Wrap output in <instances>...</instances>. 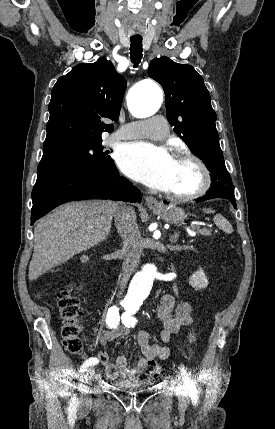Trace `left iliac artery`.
<instances>
[{
  "instance_id": "left-iliac-artery-1",
  "label": "left iliac artery",
  "mask_w": 275,
  "mask_h": 429,
  "mask_svg": "<svg viewBox=\"0 0 275 429\" xmlns=\"http://www.w3.org/2000/svg\"><path fill=\"white\" fill-rule=\"evenodd\" d=\"M125 310L126 311H125V313H123L122 318H121L122 323L128 328L134 327L137 320L132 315L136 313L137 307L126 306ZM180 372H181V376H182L183 381L185 382V384L190 389L191 399L193 400L194 403H196L198 400L197 390H196L194 383H193L192 379L190 378L186 368L183 365L180 367Z\"/></svg>"
}]
</instances>
